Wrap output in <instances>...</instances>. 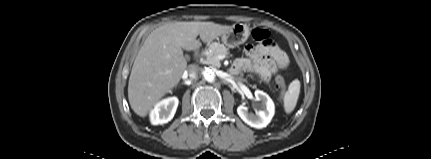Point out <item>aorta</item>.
Segmentation results:
<instances>
[{"mask_svg":"<svg viewBox=\"0 0 431 159\" xmlns=\"http://www.w3.org/2000/svg\"><path fill=\"white\" fill-rule=\"evenodd\" d=\"M201 74L203 75V77L205 78V81H207V82H213L215 80V74H214V72H211L207 68H204L201 71Z\"/></svg>","mask_w":431,"mask_h":159,"instance_id":"1","label":"aorta"}]
</instances>
